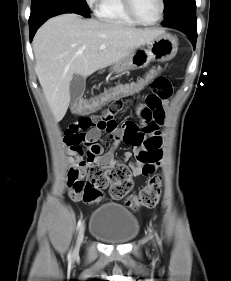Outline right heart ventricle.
I'll return each mask as SVG.
<instances>
[{"label":"right heart ventricle","instance_id":"right-heart-ventricle-1","mask_svg":"<svg viewBox=\"0 0 231 281\" xmlns=\"http://www.w3.org/2000/svg\"><path fill=\"white\" fill-rule=\"evenodd\" d=\"M97 16L108 23L135 25L136 22L127 14L122 0H101Z\"/></svg>","mask_w":231,"mask_h":281}]
</instances>
